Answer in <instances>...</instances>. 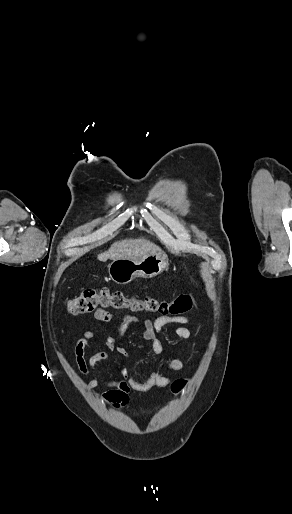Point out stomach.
<instances>
[{
    "instance_id": "0dacf381",
    "label": "stomach",
    "mask_w": 292,
    "mask_h": 514,
    "mask_svg": "<svg viewBox=\"0 0 292 514\" xmlns=\"http://www.w3.org/2000/svg\"><path fill=\"white\" fill-rule=\"evenodd\" d=\"M166 266H168L167 254L157 250L135 260H129V258L113 260L108 266V272L111 280L116 284H129L134 278H154L161 274Z\"/></svg>"
}]
</instances>
